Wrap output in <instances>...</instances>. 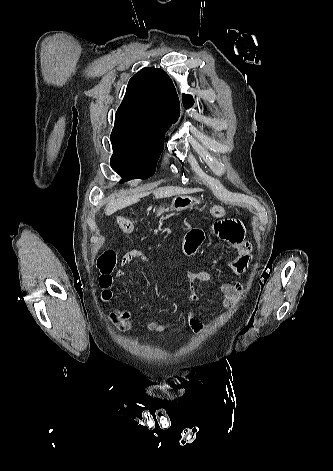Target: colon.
<instances>
[{"label": "colon", "instance_id": "5ec220e1", "mask_svg": "<svg viewBox=\"0 0 333 471\" xmlns=\"http://www.w3.org/2000/svg\"><path fill=\"white\" fill-rule=\"evenodd\" d=\"M209 212L215 218L225 216V209L220 205L210 207ZM117 224L125 234H131L134 230V223L126 217H118ZM116 264V253L113 250L104 251L97 259V268L100 272V285L102 288H109L112 283L111 273ZM109 291L104 292V298H109Z\"/></svg>", "mask_w": 333, "mask_h": 471}]
</instances>
